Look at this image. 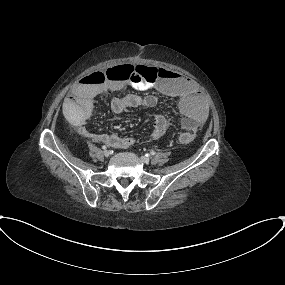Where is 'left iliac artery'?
<instances>
[{
  "label": "left iliac artery",
  "instance_id": "obj_1",
  "mask_svg": "<svg viewBox=\"0 0 285 285\" xmlns=\"http://www.w3.org/2000/svg\"><path fill=\"white\" fill-rule=\"evenodd\" d=\"M150 154H151V155H155L156 152H155V151H150Z\"/></svg>",
  "mask_w": 285,
  "mask_h": 285
}]
</instances>
